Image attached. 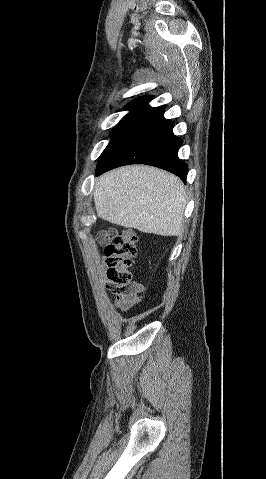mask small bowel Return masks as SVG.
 <instances>
[{
  "label": "small bowel",
  "mask_w": 266,
  "mask_h": 479,
  "mask_svg": "<svg viewBox=\"0 0 266 479\" xmlns=\"http://www.w3.org/2000/svg\"><path fill=\"white\" fill-rule=\"evenodd\" d=\"M144 287L142 284L133 282L130 290L122 292H114V303L118 309L127 312L136 307L140 303V296L143 293Z\"/></svg>",
  "instance_id": "small-bowel-1"
}]
</instances>
